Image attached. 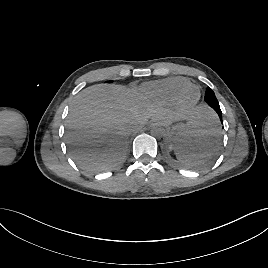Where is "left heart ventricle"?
<instances>
[{"mask_svg":"<svg viewBox=\"0 0 268 268\" xmlns=\"http://www.w3.org/2000/svg\"><path fill=\"white\" fill-rule=\"evenodd\" d=\"M196 97H197V91H196V90H191V91L187 94V96H186V100H187L188 102H190V101H193Z\"/></svg>","mask_w":268,"mask_h":268,"instance_id":"left-heart-ventricle-1","label":"left heart ventricle"}]
</instances>
